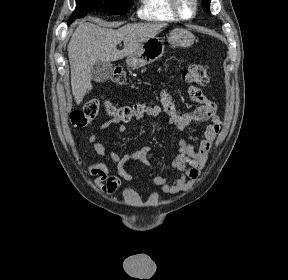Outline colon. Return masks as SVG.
Instances as JSON below:
<instances>
[{
	"mask_svg": "<svg viewBox=\"0 0 288 280\" xmlns=\"http://www.w3.org/2000/svg\"><path fill=\"white\" fill-rule=\"evenodd\" d=\"M183 79L189 83L205 86L209 83L208 66L199 63H191L183 70ZM112 80L116 84H123L126 80V73L123 67L116 66ZM101 108L99 99H93L85 104L82 110L71 112L70 119L72 124L77 128L88 126L97 116ZM105 112L115 119L128 122L133 118H140L145 115L146 106L142 104H135L133 106L116 107L109 101L103 102Z\"/></svg>",
	"mask_w": 288,
	"mask_h": 280,
	"instance_id": "obj_1",
	"label": "colon"
}]
</instances>
